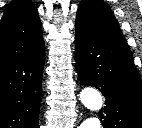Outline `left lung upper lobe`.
Here are the masks:
<instances>
[{
    "instance_id": "obj_1",
    "label": "left lung upper lobe",
    "mask_w": 142,
    "mask_h": 128,
    "mask_svg": "<svg viewBox=\"0 0 142 128\" xmlns=\"http://www.w3.org/2000/svg\"><path fill=\"white\" fill-rule=\"evenodd\" d=\"M76 25L105 40L128 45L110 7L101 0H82L77 10Z\"/></svg>"
}]
</instances>
